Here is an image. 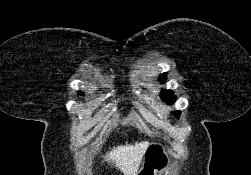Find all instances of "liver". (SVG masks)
Returning <instances> with one entry per match:
<instances>
[{"instance_id": "liver-1", "label": "liver", "mask_w": 251, "mask_h": 175, "mask_svg": "<svg viewBox=\"0 0 251 175\" xmlns=\"http://www.w3.org/2000/svg\"><path fill=\"white\" fill-rule=\"evenodd\" d=\"M149 141H135L134 145H117L105 155V161L115 165L124 175H136Z\"/></svg>"}]
</instances>
